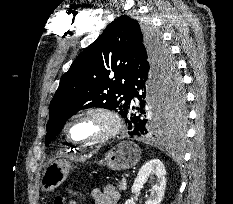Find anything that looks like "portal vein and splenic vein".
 Instances as JSON below:
<instances>
[{
  "label": "portal vein and splenic vein",
  "instance_id": "18ae733b",
  "mask_svg": "<svg viewBox=\"0 0 233 204\" xmlns=\"http://www.w3.org/2000/svg\"><path fill=\"white\" fill-rule=\"evenodd\" d=\"M122 180H126V179H125V176H123V179H122Z\"/></svg>",
  "mask_w": 233,
  "mask_h": 204
}]
</instances>
